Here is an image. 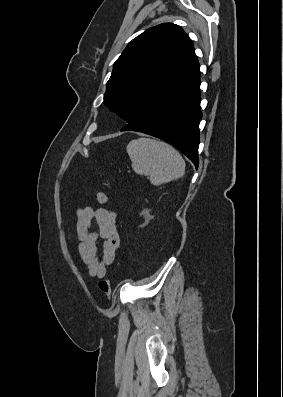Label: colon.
I'll return each instance as SVG.
<instances>
[{
  "label": "colon",
  "mask_w": 283,
  "mask_h": 397,
  "mask_svg": "<svg viewBox=\"0 0 283 397\" xmlns=\"http://www.w3.org/2000/svg\"><path fill=\"white\" fill-rule=\"evenodd\" d=\"M97 201L100 204H105L107 202V195L103 191H99L96 195ZM99 289L106 296L110 297L112 294L111 282L108 279H101L99 281Z\"/></svg>",
  "instance_id": "colon-1"
}]
</instances>
